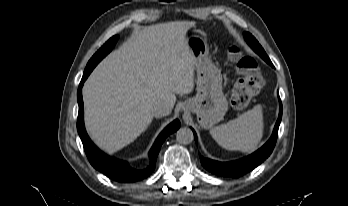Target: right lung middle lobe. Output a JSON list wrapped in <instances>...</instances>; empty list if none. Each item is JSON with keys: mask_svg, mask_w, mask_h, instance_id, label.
Segmentation results:
<instances>
[{"mask_svg": "<svg viewBox=\"0 0 348 206\" xmlns=\"http://www.w3.org/2000/svg\"><path fill=\"white\" fill-rule=\"evenodd\" d=\"M118 40V36H113L110 38L94 55H103L106 56L114 47Z\"/></svg>", "mask_w": 348, "mask_h": 206, "instance_id": "obj_1", "label": "right lung middle lobe"}]
</instances>
